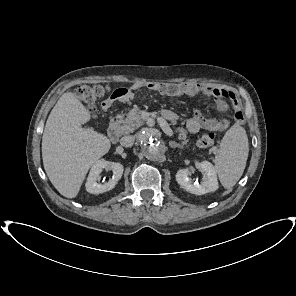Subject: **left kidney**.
Here are the masks:
<instances>
[{
  "mask_svg": "<svg viewBox=\"0 0 296 296\" xmlns=\"http://www.w3.org/2000/svg\"><path fill=\"white\" fill-rule=\"evenodd\" d=\"M196 167L203 171L206 176L205 180L201 184H192L189 180V173L194 170L192 166L186 169L178 170L176 173L177 183L186 191L196 195H203L216 191L218 189V180L213 165L208 161H203Z\"/></svg>",
  "mask_w": 296,
  "mask_h": 296,
  "instance_id": "5707ae66",
  "label": "left kidney"
}]
</instances>
